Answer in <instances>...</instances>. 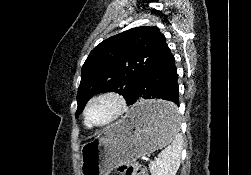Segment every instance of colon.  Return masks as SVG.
Listing matches in <instances>:
<instances>
[{
    "label": "colon",
    "mask_w": 251,
    "mask_h": 175,
    "mask_svg": "<svg viewBox=\"0 0 251 175\" xmlns=\"http://www.w3.org/2000/svg\"><path fill=\"white\" fill-rule=\"evenodd\" d=\"M118 169L122 175H148L144 164L137 160L125 162Z\"/></svg>",
    "instance_id": "5ec220e1"
}]
</instances>
